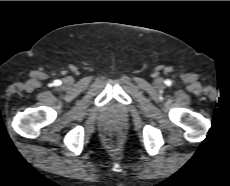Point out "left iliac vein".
<instances>
[{
    "label": "left iliac vein",
    "instance_id": "1",
    "mask_svg": "<svg viewBox=\"0 0 230 186\" xmlns=\"http://www.w3.org/2000/svg\"><path fill=\"white\" fill-rule=\"evenodd\" d=\"M155 85H156V87H158V88H162V87L164 86V81H163V79H161V78L156 79Z\"/></svg>",
    "mask_w": 230,
    "mask_h": 186
}]
</instances>
